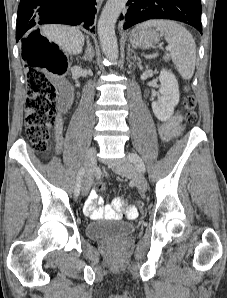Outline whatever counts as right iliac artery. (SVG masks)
<instances>
[{"label":"right iliac artery","mask_w":227,"mask_h":298,"mask_svg":"<svg viewBox=\"0 0 227 298\" xmlns=\"http://www.w3.org/2000/svg\"><path fill=\"white\" fill-rule=\"evenodd\" d=\"M85 174V169L81 168L77 173L76 184L74 188V195L77 197L80 193L81 180Z\"/></svg>","instance_id":"82829eb1"}]
</instances>
